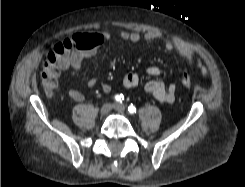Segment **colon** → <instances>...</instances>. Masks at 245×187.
<instances>
[{"label": "colon", "instance_id": "colon-1", "mask_svg": "<svg viewBox=\"0 0 245 187\" xmlns=\"http://www.w3.org/2000/svg\"><path fill=\"white\" fill-rule=\"evenodd\" d=\"M82 48L83 40L78 36H72L57 43L53 51L48 54L41 69L42 84L47 95H52L58 87L59 65L66 61L72 52ZM181 83L184 88H191L194 80L189 74L184 73Z\"/></svg>", "mask_w": 245, "mask_h": 187}]
</instances>
